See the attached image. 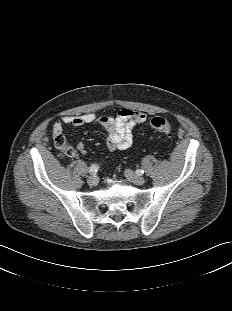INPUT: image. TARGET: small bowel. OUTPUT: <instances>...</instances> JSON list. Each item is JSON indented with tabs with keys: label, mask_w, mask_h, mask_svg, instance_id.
<instances>
[{
	"label": "small bowel",
	"mask_w": 232,
	"mask_h": 311,
	"mask_svg": "<svg viewBox=\"0 0 232 311\" xmlns=\"http://www.w3.org/2000/svg\"><path fill=\"white\" fill-rule=\"evenodd\" d=\"M145 113L137 110L124 108L117 116H97L88 113L80 116H64L56 120L52 125L54 137L63 136V125L81 127L90 123H97L106 131V146L109 150H125L133 144V129L135 126L145 122ZM79 152H83L85 145L83 142L77 144Z\"/></svg>",
	"instance_id": "obj_1"
}]
</instances>
